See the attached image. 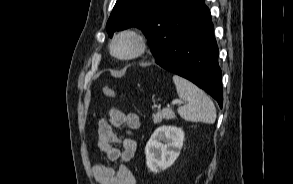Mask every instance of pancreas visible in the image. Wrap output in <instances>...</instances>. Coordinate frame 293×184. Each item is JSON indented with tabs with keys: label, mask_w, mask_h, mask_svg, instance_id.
Instances as JSON below:
<instances>
[{
	"label": "pancreas",
	"mask_w": 293,
	"mask_h": 184,
	"mask_svg": "<svg viewBox=\"0 0 293 184\" xmlns=\"http://www.w3.org/2000/svg\"><path fill=\"white\" fill-rule=\"evenodd\" d=\"M174 118L175 113L170 109L158 110V112L153 115V121L155 124L161 123L163 119L170 120Z\"/></svg>",
	"instance_id": "cf45deb5"
}]
</instances>
